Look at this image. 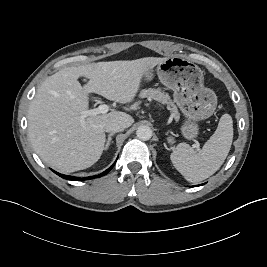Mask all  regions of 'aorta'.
<instances>
[{"label": "aorta", "mask_w": 267, "mask_h": 267, "mask_svg": "<svg viewBox=\"0 0 267 267\" xmlns=\"http://www.w3.org/2000/svg\"><path fill=\"white\" fill-rule=\"evenodd\" d=\"M136 135L140 140L147 141L152 137V130L149 126H139Z\"/></svg>", "instance_id": "762f6f07"}]
</instances>
